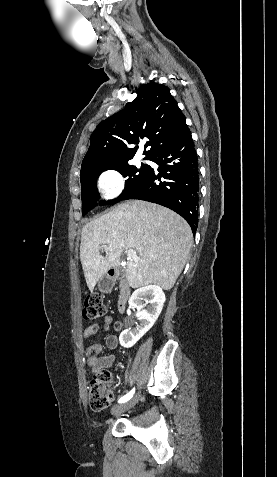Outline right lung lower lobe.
<instances>
[{"label":"right lung lower lobe","mask_w":277,"mask_h":477,"mask_svg":"<svg viewBox=\"0 0 277 477\" xmlns=\"http://www.w3.org/2000/svg\"><path fill=\"white\" fill-rule=\"evenodd\" d=\"M159 165L150 167L142 182L122 200L141 199L163 205L181 215L195 233L198 225V159L188 130L173 144L150 157Z\"/></svg>","instance_id":"obj_1"}]
</instances>
